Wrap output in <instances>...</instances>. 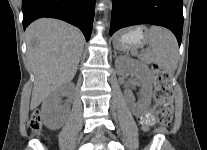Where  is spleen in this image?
Here are the masks:
<instances>
[{"instance_id":"obj_1","label":"spleen","mask_w":207,"mask_h":150,"mask_svg":"<svg viewBox=\"0 0 207 150\" xmlns=\"http://www.w3.org/2000/svg\"><path fill=\"white\" fill-rule=\"evenodd\" d=\"M146 38L149 50L145 58L172 74L178 65V44L174 34L166 28L152 26ZM131 52L135 55L138 53L135 48Z\"/></svg>"}]
</instances>
